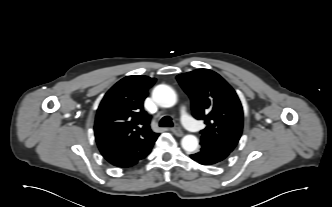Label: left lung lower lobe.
<instances>
[{"label":"left lung lower lobe","mask_w":332,"mask_h":207,"mask_svg":"<svg viewBox=\"0 0 332 207\" xmlns=\"http://www.w3.org/2000/svg\"><path fill=\"white\" fill-rule=\"evenodd\" d=\"M230 153L220 148L201 144V148L194 154L190 155V158L202 165H214L228 157Z\"/></svg>","instance_id":"0a47b994"}]
</instances>
